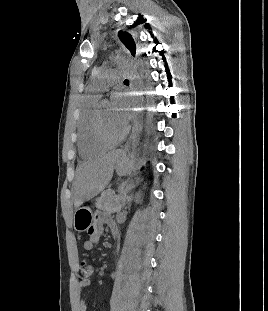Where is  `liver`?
I'll return each instance as SVG.
<instances>
[{"label":"liver","instance_id":"6515ba94","mask_svg":"<svg viewBox=\"0 0 268 311\" xmlns=\"http://www.w3.org/2000/svg\"><path fill=\"white\" fill-rule=\"evenodd\" d=\"M122 154L121 150H114L79 166L74 184L76 207L91 200L105 189L113 177L115 164Z\"/></svg>","mask_w":268,"mask_h":311}]
</instances>
